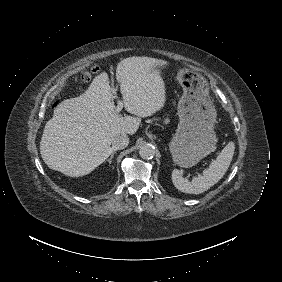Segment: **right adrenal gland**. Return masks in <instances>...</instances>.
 Listing matches in <instances>:
<instances>
[{"label": "right adrenal gland", "mask_w": 282, "mask_h": 282, "mask_svg": "<svg viewBox=\"0 0 282 282\" xmlns=\"http://www.w3.org/2000/svg\"><path fill=\"white\" fill-rule=\"evenodd\" d=\"M116 153H117L116 150H114L113 148H110V157L108 158L109 164H112V159Z\"/></svg>", "instance_id": "2a0ac1e0"}]
</instances>
